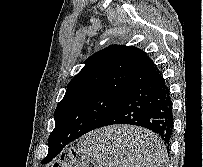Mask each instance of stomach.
<instances>
[{"label":"stomach","mask_w":203,"mask_h":167,"mask_svg":"<svg viewBox=\"0 0 203 167\" xmlns=\"http://www.w3.org/2000/svg\"><path fill=\"white\" fill-rule=\"evenodd\" d=\"M103 132H106L107 130L105 129V130H102Z\"/></svg>","instance_id":"0dacf381"}]
</instances>
